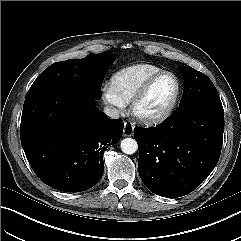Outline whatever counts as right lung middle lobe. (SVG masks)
<instances>
[{
    "label": "right lung middle lobe",
    "mask_w": 241,
    "mask_h": 241,
    "mask_svg": "<svg viewBox=\"0 0 241 241\" xmlns=\"http://www.w3.org/2000/svg\"><path fill=\"white\" fill-rule=\"evenodd\" d=\"M115 58L112 52L69 59L47 67L31 87L48 82L69 81L78 84L95 98H101V85Z\"/></svg>",
    "instance_id": "obj_1"
}]
</instances>
